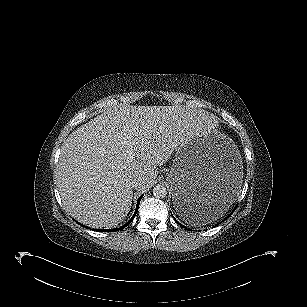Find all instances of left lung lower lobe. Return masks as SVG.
<instances>
[{
	"instance_id": "0a47b994",
	"label": "left lung lower lobe",
	"mask_w": 307,
	"mask_h": 307,
	"mask_svg": "<svg viewBox=\"0 0 307 307\" xmlns=\"http://www.w3.org/2000/svg\"><path fill=\"white\" fill-rule=\"evenodd\" d=\"M235 210V209H234ZM234 210L232 211V213L234 212ZM232 213H230L227 217H229ZM226 217V218H227ZM174 218V217H173ZM174 220L178 223V224H180L175 218H174Z\"/></svg>"
}]
</instances>
